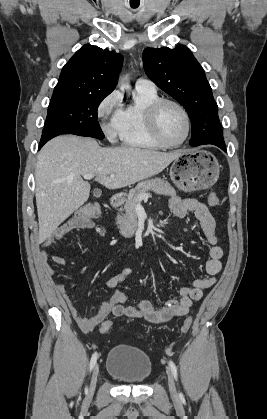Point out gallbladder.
<instances>
[{
  "label": "gallbladder",
  "mask_w": 267,
  "mask_h": 419,
  "mask_svg": "<svg viewBox=\"0 0 267 419\" xmlns=\"http://www.w3.org/2000/svg\"><path fill=\"white\" fill-rule=\"evenodd\" d=\"M94 195H95V196H100V195H101V191H100V190H98V189H96V190L94 191Z\"/></svg>",
  "instance_id": "1"
}]
</instances>
